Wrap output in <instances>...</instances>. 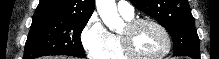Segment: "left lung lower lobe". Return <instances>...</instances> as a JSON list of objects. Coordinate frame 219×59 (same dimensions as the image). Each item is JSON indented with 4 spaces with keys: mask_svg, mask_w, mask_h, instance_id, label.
Masks as SVG:
<instances>
[{
    "mask_svg": "<svg viewBox=\"0 0 219 59\" xmlns=\"http://www.w3.org/2000/svg\"><path fill=\"white\" fill-rule=\"evenodd\" d=\"M192 57L193 59H200V55L199 56H189Z\"/></svg>",
    "mask_w": 219,
    "mask_h": 59,
    "instance_id": "left-lung-lower-lobe-1",
    "label": "left lung lower lobe"
}]
</instances>
